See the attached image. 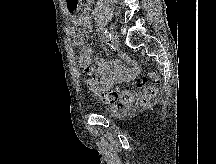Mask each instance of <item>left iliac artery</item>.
I'll return each mask as SVG.
<instances>
[{"instance_id":"44dca946","label":"left iliac artery","mask_w":216,"mask_h":164,"mask_svg":"<svg viewBox=\"0 0 216 164\" xmlns=\"http://www.w3.org/2000/svg\"><path fill=\"white\" fill-rule=\"evenodd\" d=\"M103 39L107 45H109V46L111 45L109 48L114 53L116 50L114 49L113 45L111 44V34L109 33V31L107 29H105L103 31Z\"/></svg>"}]
</instances>
